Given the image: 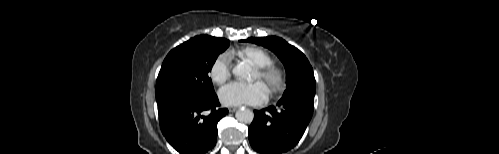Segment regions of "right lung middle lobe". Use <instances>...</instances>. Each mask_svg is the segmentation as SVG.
<instances>
[{
	"mask_svg": "<svg viewBox=\"0 0 499 154\" xmlns=\"http://www.w3.org/2000/svg\"><path fill=\"white\" fill-rule=\"evenodd\" d=\"M228 46L226 39L200 35L171 50L157 78L156 100L171 95L203 98L213 94L209 72Z\"/></svg>",
	"mask_w": 499,
	"mask_h": 154,
	"instance_id": "1",
	"label": "right lung middle lobe"
}]
</instances>
